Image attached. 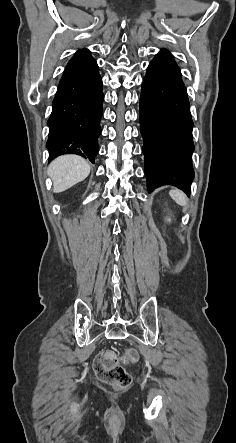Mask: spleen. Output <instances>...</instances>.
Here are the masks:
<instances>
[{
    "label": "spleen",
    "instance_id": "1",
    "mask_svg": "<svg viewBox=\"0 0 236 443\" xmlns=\"http://www.w3.org/2000/svg\"><path fill=\"white\" fill-rule=\"evenodd\" d=\"M171 198L180 206L187 205V198L183 192L177 189L170 190L169 192Z\"/></svg>",
    "mask_w": 236,
    "mask_h": 443
}]
</instances>
